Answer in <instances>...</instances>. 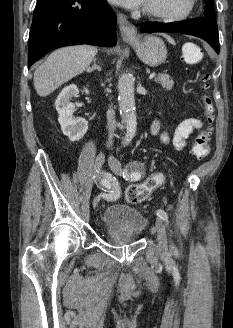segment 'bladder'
Masks as SVG:
<instances>
[{"mask_svg": "<svg viewBox=\"0 0 233 328\" xmlns=\"http://www.w3.org/2000/svg\"><path fill=\"white\" fill-rule=\"evenodd\" d=\"M102 221L108 235H124L136 238L146 227V217L136 208L116 203L106 207Z\"/></svg>", "mask_w": 233, "mask_h": 328, "instance_id": "31cf9c89", "label": "bladder"}]
</instances>
